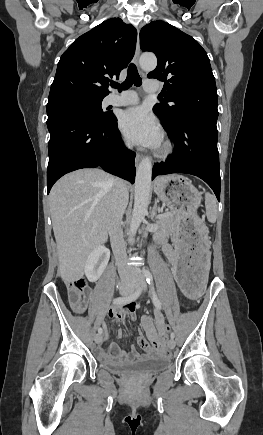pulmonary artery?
<instances>
[{
	"instance_id": "obj_1",
	"label": "pulmonary artery",
	"mask_w": 263,
	"mask_h": 435,
	"mask_svg": "<svg viewBox=\"0 0 263 435\" xmlns=\"http://www.w3.org/2000/svg\"><path fill=\"white\" fill-rule=\"evenodd\" d=\"M160 89L159 83L155 80H147L144 84V90L147 93H156ZM138 102V96L135 92L128 91L120 95H109L105 99V103L114 106L133 105Z\"/></svg>"
}]
</instances>
